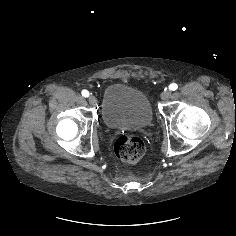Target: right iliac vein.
Masks as SVG:
<instances>
[{"instance_id": "63e3f726", "label": "right iliac vein", "mask_w": 236, "mask_h": 236, "mask_svg": "<svg viewBox=\"0 0 236 236\" xmlns=\"http://www.w3.org/2000/svg\"><path fill=\"white\" fill-rule=\"evenodd\" d=\"M88 101H89V103L92 106H96L97 105V98L95 96H93V95L89 96Z\"/></svg>"}]
</instances>
